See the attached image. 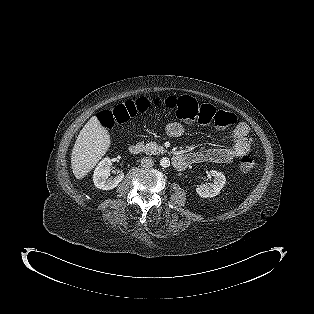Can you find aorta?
Masks as SVG:
<instances>
[{"label":"aorta","mask_w":314,"mask_h":314,"mask_svg":"<svg viewBox=\"0 0 314 314\" xmlns=\"http://www.w3.org/2000/svg\"><path fill=\"white\" fill-rule=\"evenodd\" d=\"M160 165L164 168L166 167H169L170 166V160L169 158L167 157H163L161 160H160Z\"/></svg>","instance_id":"762f6f07"}]
</instances>
